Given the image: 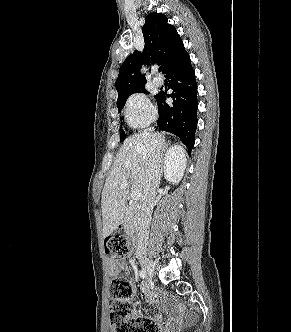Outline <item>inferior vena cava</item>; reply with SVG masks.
Segmentation results:
<instances>
[{
    "mask_svg": "<svg viewBox=\"0 0 291 332\" xmlns=\"http://www.w3.org/2000/svg\"><path fill=\"white\" fill-rule=\"evenodd\" d=\"M151 131V130H150ZM144 136L148 139L149 147L147 153V167L144 176L142 206L139 210L137 253L145 254L147 251L148 233L154 206L156 192L159 188L162 176V162L160 149L152 133L145 131Z\"/></svg>",
    "mask_w": 291,
    "mask_h": 332,
    "instance_id": "inferior-vena-cava-1",
    "label": "inferior vena cava"
}]
</instances>
